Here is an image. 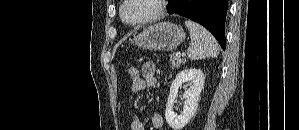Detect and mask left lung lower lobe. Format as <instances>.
Listing matches in <instances>:
<instances>
[{"label":"left lung lower lobe","mask_w":299,"mask_h":130,"mask_svg":"<svg viewBox=\"0 0 299 130\" xmlns=\"http://www.w3.org/2000/svg\"><path fill=\"white\" fill-rule=\"evenodd\" d=\"M169 3V14H178L203 25L225 49L228 0H171Z\"/></svg>","instance_id":"left-lung-lower-lobe-1"}]
</instances>
